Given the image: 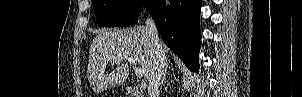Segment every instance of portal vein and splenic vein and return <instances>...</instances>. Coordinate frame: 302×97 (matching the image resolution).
Returning <instances> with one entry per match:
<instances>
[{"instance_id":"obj_1","label":"portal vein and splenic vein","mask_w":302,"mask_h":97,"mask_svg":"<svg viewBox=\"0 0 302 97\" xmlns=\"http://www.w3.org/2000/svg\"><path fill=\"white\" fill-rule=\"evenodd\" d=\"M122 59V57H117V58H114L113 60L114 61H116V60H121ZM127 59V61L131 64V65H133V66H136L137 65V62H136V60L134 59V58H126ZM135 75L138 77V78H142L143 76H144V72H143V70L141 69V68H136L135 69Z\"/></svg>"}]
</instances>
